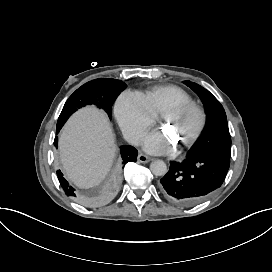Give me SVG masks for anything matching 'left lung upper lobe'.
Here are the masks:
<instances>
[{
	"label": "left lung upper lobe",
	"instance_id": "obj_1",
	"mask_svg": "<svg viewBox=\"0 0 272 272\" xmlns=\"http://www.w3.org/2000/svg\"><path fill=\"white\" fill-rule=\"evenodd\" d=\"M184 83L200 97L207 113V124L203 135L190 155L219 154L230 158L231 137L222 105L202 86L191 81Z\"/></svg>",
	"mask_w": 272,
	"mask_h": 272
}]
</instances>
